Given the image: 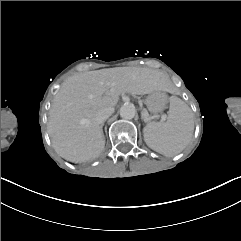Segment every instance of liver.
I'll return each mask as SVG.
<instances>
[{
	"label": "liver",
	"mask_w": 241,
	"mask_h": 241,
	"mask_svg": "<svg viewBox=\"0 0 241 241\" xmlns=\"http://www.w3.org/2000/svg\"><path fill=\"white\" fill-rule=\"evenodd\" d=\"M163 72L125 67L75 74L67 78L54 97L48 133L55 151L74 163L99 157L105 146L96 115L115 108L121 94L145 95L166 91Z\"/></svg>",
	"instance_id": "obj_1"
}]
</instances>
